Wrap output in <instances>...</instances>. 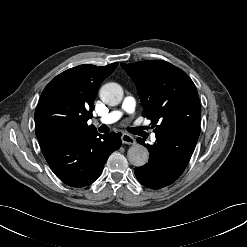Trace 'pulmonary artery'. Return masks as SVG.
<instances>
[{
	"label": "pulmonary artery",
	"mask_w": 247,
	"mask_h": 247,
	"mask_svg": "<svg viewBox=\"0 0 247 247\" xmlns=\"http://www.w3.org/2000/svg\"><path fill=\"white\" fill-rule=\"evenodd\" d=\"M136 102L135 99L131 96H128L124 99L122 107L120 110L112 111L104 116H102L99 121L105 124H111L118 121L124 113H133L135 111ZM155 134L151 135V139L155 140Z\"/></svg>",
	"instance_id": "e3ab8cb5"
}]
</instances>
